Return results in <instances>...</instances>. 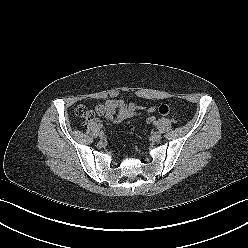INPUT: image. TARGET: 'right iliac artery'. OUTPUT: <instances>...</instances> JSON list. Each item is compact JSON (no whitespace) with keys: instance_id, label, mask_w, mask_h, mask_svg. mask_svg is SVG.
Returning <instances> with one entry per match:
<instances>
[{"instance_id":"82829eb1","label":"right iliac artery","mask_w":248,"mask_h":248,"mask_svg":"<svg viewBox=\"0 0 248 248\" xmlns=\"http://www.w3.org/2000/svg\"><path fill=\"white\" fill-rule=\"evenodd\" d=\"M102 126H103L102 124H101V125H99V127H100V128H102Z\"/></svg>"}]
</instances>
